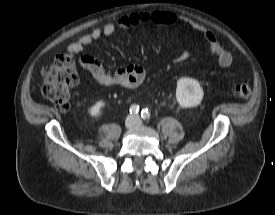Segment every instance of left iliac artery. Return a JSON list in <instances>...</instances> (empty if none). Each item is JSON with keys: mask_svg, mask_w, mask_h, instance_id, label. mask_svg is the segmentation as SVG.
<instances>
[{"mask_svg": "<svg viewBox=\"0 0 275 215\" xmlns=\"http://www.w3.org/2000/svg\"><path fill=\"white\" fill-rule=\"evenodd\" d=\"M141 117L143 119H149L150 118V112L148 111L147 108L142 110Z\"/></svg>", "mask_w": 275, "mask_h": 215, "instance_id": "44dca946", "label": "left iliac artery"}]
</instances>
